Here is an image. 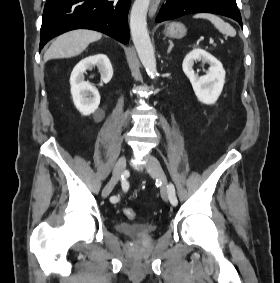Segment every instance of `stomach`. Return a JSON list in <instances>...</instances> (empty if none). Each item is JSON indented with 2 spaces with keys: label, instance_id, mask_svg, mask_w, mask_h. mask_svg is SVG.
I'll list each match as a JSON object with an SVG mask.
<instances>
[{
  "label": "stomach",
  "instance_id": "obj_1",
  "mask_svg": "<svg viewBox=\"0 0 280 283\" xmlns=\"http://www.w3.org/2000/svg\"><path fill=\"white\" fill-rule=\"evenodd\" d=\"M187 33L186 27L180 22H170L166 24L164 34L170 38L180 39Z\"/></svg>",
  "mask_w": 280,
  "mask_h": 283
}]
</instances>
